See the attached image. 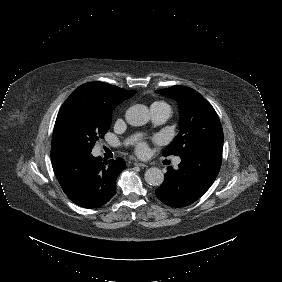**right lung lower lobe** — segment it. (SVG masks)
Listing matches in <instances>:
<instances>
[{
    "label": "right lung lower lobe",
    "mask_w": 282,
    "mask_h": 282,
    "mask_svg": "<svg viewBox=\"0 0 282 282\" xmlns=\"http://www.w3.org/2000/svg\"><path fill=\"white\" fill-rule=\"evenodd\" d=\"M52 166L63 191L74 203L97 208L114 196L116 179L126 164L122 158L105 163L87 152L53 160Z\"/></svg>",
    "instance_id": "98d812e1"
}]
</instances>
